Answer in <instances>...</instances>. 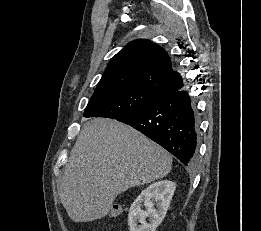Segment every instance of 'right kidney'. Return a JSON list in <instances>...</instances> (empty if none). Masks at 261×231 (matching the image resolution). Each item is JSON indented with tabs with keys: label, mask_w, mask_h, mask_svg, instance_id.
Listing matches in <instances>:
<instances>
[{
	"label": "right kidney",
	"mask_w": 261,
	"mask_h": 231,
	"mask_svg": "<svg viewBox=\"0 0 261 231\" xmlns=\"http://www.w3.org/2000/svg\"><path fill=\"white\" fill-rule=\"evenodd\" d=\"M176 189L174 182L162 180L148 186L130 207L128 225L130 231H155L164 219ZM156 203V208L154 205ZM146 210H142L141 206ZM149 218V223L146 222ZM140 223V225H138Z\"/></svg>",
	"instance_id": "ca27d5eb"
}]
</instances>
